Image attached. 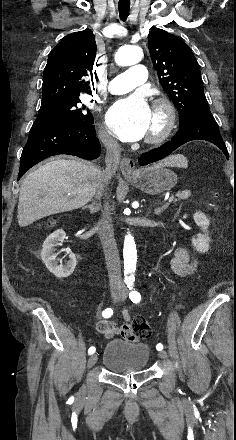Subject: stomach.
I'll return each instance as SVG.
<instances>
[{
  "mask_svg": "<svg viewBox=\"0 0 236 440\" xmlns=\"http://www.w3.org/2000/svg\"><path fill=\"white\" fill-rule=\"evenodd\" d=\"M126 179L148 194H158L171 189L178 181L177 175L164 166L141 169L133 176H126Z\"/></svg>",
  "mask_w": 236,
  "mask_h": 440,
  "instance_id": "1",
  "label": "stomach"
}]
</instances>
